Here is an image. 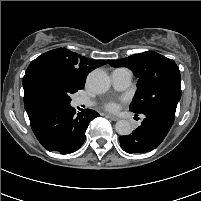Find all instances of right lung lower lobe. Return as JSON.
Here are the masks:
<instances>
[{"mask_svg": "<svg viewBox=\"0 0 201 201\" xmlns=\"http://www.w3.org/2000/svg\"><path fill=\"white\" fill-rule=\"evenodd\" d=\"M24 107L41 145L61 154L79 149L85 141L89 122L99 116L89 109L76 114L70 103L37 91L24 95Z\"/></svg>", "mask_w": 201, "mask_h": 201, "instance_id": "obj_1", "label": "right lung lower lobe"}]
</instances>
